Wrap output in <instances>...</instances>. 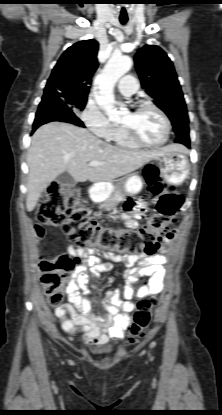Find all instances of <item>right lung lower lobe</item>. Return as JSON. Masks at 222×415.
Masks as SVG:
<instances>
[{
	"label": "right lung lower lobe",
	"mask_w": 222,
	"mask_h": 415,
	"mask_svg": "<svg viewBox=\"0 0 222 415\" xmlns=\"http://www.w3.org/2000/svg\"><path fill=\"white\" fill-rule=\"evenodd\" d=\"M52 121L68 122L85 127L82 121L75 116L73 111L57 96H53L48 102L39 105L32 132L39 126Z\"/></svg>",
	"instance_id": "right-lung-lower-lobe-1"
}]
</instances>
